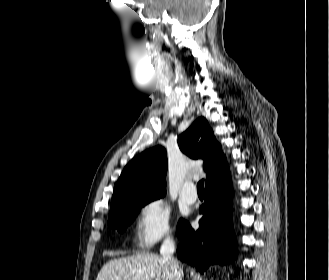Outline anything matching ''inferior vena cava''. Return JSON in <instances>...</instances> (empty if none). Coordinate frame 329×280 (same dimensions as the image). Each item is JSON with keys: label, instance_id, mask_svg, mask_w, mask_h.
Segmentation results:
<instances>
[{"label": "inferior vena cava", "instance_id": "inferior-vena-cava-1", "mask_svg": "<svg viewBox=\"0 0 329 280\" xmlns=\"http://www.w3.org/2000/svg\"><path fill=\"white\" fill-rule=\"evenodd\" d=\"M174 251V241L170 236H167L160 248L161 258L169 266L172 280H182L183 271L179 265V262L173 257Z\"/></svg>", "mask_w": 329, "mask_h": 280}]
</instances>
